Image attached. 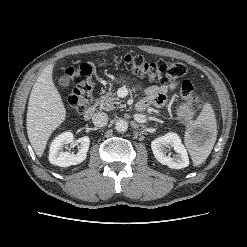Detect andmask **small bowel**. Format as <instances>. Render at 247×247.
<instances>
[{
	"instance_id": "obj_1",
	"label": "small bowel",
	"mask_w": 247,
	"mask_h": 247,
	"mask_svg": "<svg viewBox=\"0 0 247 247\" xmlns=\"http://www.w3.org/2000/svg\"><path fill=\"white\" fill-rule=\"evenodd\" d=\"M176 85L174 83L164 86H150L146 89V97L142 100L147 106L154 105L157 107L163 106L166 101V93L173 89Z\"/></svg>"
}]
</instances>
